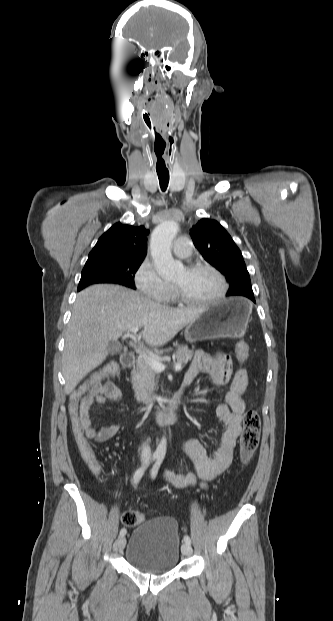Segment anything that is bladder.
I'll return each mask as SVG.
<instances>
[{"instance_id": "obj_1", "label": "bladder", "mask_w": 333, "mask_h": 621, "mask_svg": "<svg viewBox=\"0 0 333 621\" xmlns=\"http://www.w3.org/2000/svg\"><path fill=\"white\" fill-rule=\"evenodd\" d=\"M178 523L168 516L145 520L132 531L125 552L134 568L152 574L173 570L180 556Z\"/></svg>"}]
</instances>
